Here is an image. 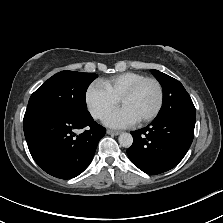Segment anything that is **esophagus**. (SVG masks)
Listing matches in <instances>:
<instances>
[{"label": "esophagus", "instance_id": "esophagus-1", "mask_svg": "<svg viewBox=\"0 0 223 223\" xmlns=\"http://www.w3.org/2000/svg\"><path fill=\"white\" fill-rule=\"evenodd\" d=\"M107 134H109V135H119L120 132H119V131H114V130H110V129H108V130H107Z\"/></svg>", "mask_w": 223, "mask_h": 223}]
</instances>
